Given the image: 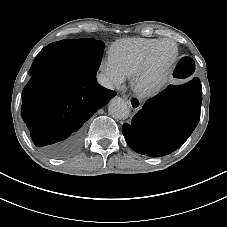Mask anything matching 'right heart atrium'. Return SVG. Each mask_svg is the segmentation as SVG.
<instances>
[{
    "label": "right heart atrium",
    "instance_id": "obj_1",
    "mask_svg": "<svg viewBox=\"0 0 227 227\" xmlns=\"http://www.w3.org/2000/svg\"><path fill=\"white\" fill-rule=\"evenodd\" d=\"M100 70L104 75L107 87L110 89L119 88L124 83L127 76L125 71L110 58L101 62Z\"/></svg>",
    "mask_w": 227,
    "mask_h": 227
}]
</instances>
